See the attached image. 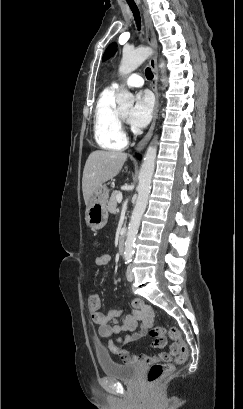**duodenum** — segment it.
Masks as SVG:
<instances>
[{"label":"duodenum","mask_w":243,"mask_h":409,"mask_svg":"<svg viewBox=\"0 0 243 409\" xmlns=\"http://www.w3.org/2000/svg\"><path fill=\"white\" fill-rule=\"evenodd\" d=\"M125 247H126V232L124 231L120 237L119 245H118V250L120 254H123L125 252Z\"/></svg>","instance_id":"obj_1"}]
</instances>
